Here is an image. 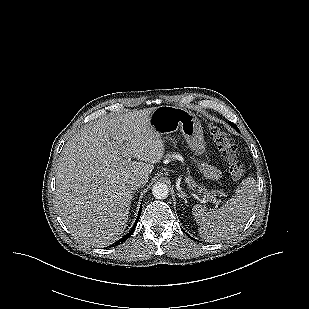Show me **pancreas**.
<instances>
[{
	"mask_svg": "<svg viewBox=\"0 0 309 309\" xmlns=\"http://www.w3.org/2000/svg\"><path fill=\"white\" fill-rule=\"evenodd\" d=\"M167 157H168V158H171V157H173V155H169V154H168ZM187 182L189 183V186H190L191 188L197 186L196 183H195L192 179H190V178L187 179ZM199 191L205 193V194L207 195V199H208L209 201L215 200L214 191L208 192V191L205 190V188H202V187L199 188Z\"/></svg>",
	"mask_w": 309,
	"mask_h": 309,
	"instance_id": "pancreas-1",
	"label": "pancreas"
}]
</instances>
